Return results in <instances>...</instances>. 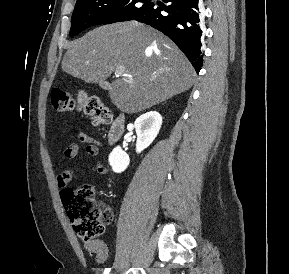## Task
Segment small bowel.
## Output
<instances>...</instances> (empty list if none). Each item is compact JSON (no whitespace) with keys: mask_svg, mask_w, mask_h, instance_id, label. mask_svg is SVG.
Wrapping results in <instances>:
<instances>
[{"mask_svg":"<svg viewBox=\"0 0 289 274\" xmlns=\"http://www.w3.org/2000/svg\"><path fill=\"white\" fill-rule=\"evenodd\" d=\"M76 137L80 143L85 144L84 151L86 154L92 157L98 155L99 148L97 146V141L94 138L88 136L84 132H78ZM80 151L81 147L78 143H71L65 148L63 155L67 159H73L80 153ZM95 169L97 173L102 175L108 172V168L99 161L96 162ZM73 175L74 171L72 168L66 169L58 174L56 177L57 186L62 189L65 188L73 178ZM84 247L89 254L95 256V259L98 263H104L107 260L109 250L105 242L102 240L96 239L92 241H86L84 243Z\"/></svg>","mask_w":289,"mask_h":274,"instance_id":"small-bowel-1","label":"small bowel"}]
</instances>
